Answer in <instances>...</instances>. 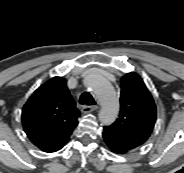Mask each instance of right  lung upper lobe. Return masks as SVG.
I'll return each instance as SVG.
<instances>
[{
    "label": "right lung upper lobe",
    "instance_id": "obj_1",
    "mask_svg": "<svg viewBox=\"0 0 184 173\" xmlns=\"http://www.w3.org/2000/svg\"><path fill=\"white\" fill-rule=\"evenodd\" d=\"M79 110L66 86V79L54 77L41 85L22 110L24 130L39 149L56 152L77 126Z\"/></svg>",
    "mask_w": 184,
    "mask_h": 173
}]
</instances>
